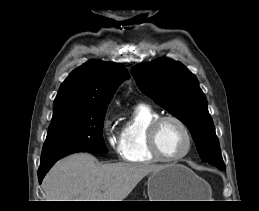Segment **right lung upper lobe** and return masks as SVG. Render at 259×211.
I'll return each mask as SVG.
<instances>
[{"instance_id":"obj_1","label":"right lung upper lobe","mask_w":259,"mask_h":211,"mask_svg":"<svg viewBox=\"0 0 259 211\" xmlns=\"http://www.w3.org/2000/svg\"><path fill=\"white\" fill-rule=\"evenodd\" d=\"M129 76L117 63L90 60L75 69L61 84L53 116L75 108H107L119 83Z\"/></svg>"}]
</instances>
